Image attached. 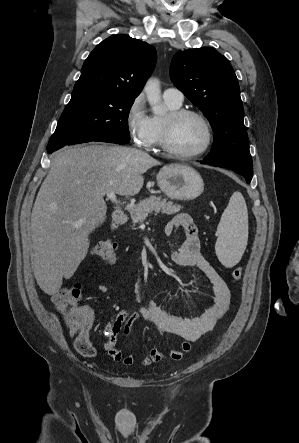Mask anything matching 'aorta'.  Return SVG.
<instances>
[{
	"label": "aorta",
	"instance_id": "obj_1",
	"mask_svg": "<svg viewBox=\"0 0 299 443\" xmlns=\"http://www.w3.org/2000/svg\"><path fill=\"white\" fill-rule=\"evenodd\" d=\"M144 92L146 93L147 100L156 115H163L165 113V108L161 105V90L159 81L155 78H150L144 87Z\"/></svg>",
	"mask_w": 299,
	"mask_h": 443
}]
</instances>
